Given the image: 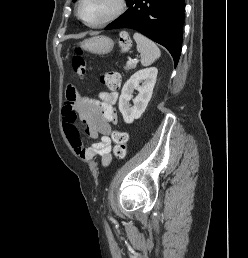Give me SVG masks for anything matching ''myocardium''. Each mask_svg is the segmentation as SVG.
<instances>
[{
  "mask_svg": "<svg viewBox=\"0 0 248 258\" xmlns=\"http://www.w3.org/2000/svg\"><path fill=\"white\" fill-rule=\"evenodd\" d=\"M84 0H79L78 2V6H77V14L78 17L81 19V21L83 23H85L87 26L89 27H93V28H97V27H102L104 25H107L109 23H112L113 21H115L116 19H118L124 12L125 10V0H117V5L116 8L114 9V11L108 15L107 17L103 18L102 20L98 21V22H88L83 14H82V5H83Z\"/></svg>",
  "mask_w": 248,
  "mask_h": 258,
  "instance_id": "myocardium-1",
  "label": "myocardium"
}]
</instances>
